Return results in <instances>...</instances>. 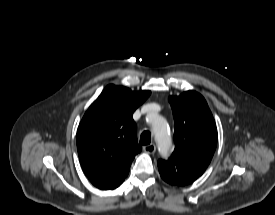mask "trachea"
Returning a JSON list of instances; mask_svg holds the SVG:
<instances>
[{"label": "trachea", "mask_w": 275, "mask_h": 215, "mask_svg": "<svg viewBox=\"0 0 275 215\" xmlns=\"http://www.w3.org/2000/svg\"><path fill=\"white\" fill-rule=\"evenodd\" d=\"M151 142V133L149 131H144L140 137V144L149 145Z\"/></svg>", "instance_id": "3493384b"}]
</instances>
